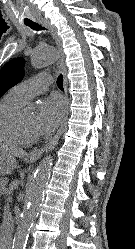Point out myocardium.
I'll use <instances>...</instances> for the list:
<instances>
[{
  "label": "myocardium",
  "mask_w": 135,
  "mask_h": 249,
  "mask_svg": "<svg viewBox=\"0 0 135 249\" xmlns=\"http://www.w3.org/2000/svg\"><path fill=\"white\" fill-rule=\"evenodd\" d=\"M22 110L19 109L12 118V127L16 135L20 138L22 143H34L38 140L37 135H29L25 132L21 125L20 117Z\"/></svg>",
  "instance_id": "myocardium-1"
}]
</instances>
